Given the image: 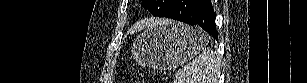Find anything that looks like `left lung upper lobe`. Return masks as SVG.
Returning <instances> with one entry per match:
<instances>
[{"mask_svg":"<svg viewBox=\"0 0 307 83\" xmlns=\"http://www.w3.org/2000/svg\"><path fill=\"white\" fill-rule=\"evenodd\" d=\"M142 2L154 16L163 17L174 0H142Z\"/></svg>","mask_w":307,"mask_h":83,"instance_id":"5c2ea615","label":"left lung upper lobe"}]
</instances>
